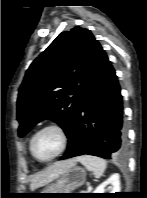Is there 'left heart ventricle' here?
Wrapping results in <instances>:
<instances>
[{"instance_id":"b2bd125f","label":"left heart ventricle","mask_w":147,"mask_h":198,"mask_svg":"<svg viewBox=\"0 0 147 198\" xmlns=\"http://www.w3.org/2000/svg\"><path fill=\"white\" fill-rule=\"evenodd\" d=\"M61 139L54 130L41 132L34 140L33 150L40 159H47L54 155L60 148Z\"/></svg>"}]
</instances>
